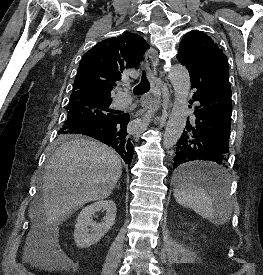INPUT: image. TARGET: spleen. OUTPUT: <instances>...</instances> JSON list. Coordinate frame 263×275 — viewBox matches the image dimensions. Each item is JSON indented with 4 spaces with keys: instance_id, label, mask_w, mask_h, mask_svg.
I'll list each match as a JSON object with an SVG mask.
<instances>
[{
    "instance_id": "3e777b00",
    "label": "spleen",
    "mask_w": 263,
    "mask_h": 275,
    "mask_svg": "<svg viewBox=\"0 0 263 275\" xmlns=\"http://www.w3.org/2000/svg\"><path fill=\"white\" fill-rule=\"evenodd\" d=\"M197 167L213 170L220 173L223 181L218 190L212 196L202 187L189 181H182L174 189V197L178 204L191 208L202 218L215 225H223L229 219L232 212L229 196V178L226 170L216 164L200 162Z\"/></svg>"
}]
</instances>
